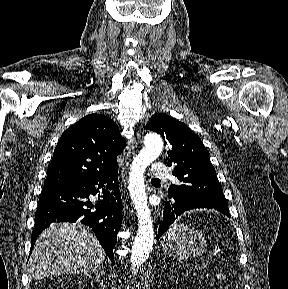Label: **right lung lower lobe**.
<instances>
[{"label": "right lung lower lobe", "mask_w": 288, "mask_h": 289, "mask_svg": "<svg viewBox=\"0 0 288 289\" xmlns=\"http://www.w3.org/2000/svg\"><path fill=\"white\" fill-rule=\"evenodd\" d=\"M103 193L96 204L89 195ZM92 228L98 241L114 264L113 249L122 222L118 189V166L87 178L43 189L35 213L32 247L37 236L56 222H76Z\"/></svg>", "instance_id": "98d812e1"}]
</instances>
